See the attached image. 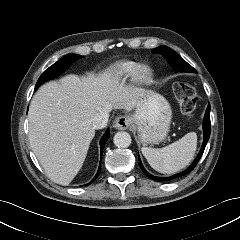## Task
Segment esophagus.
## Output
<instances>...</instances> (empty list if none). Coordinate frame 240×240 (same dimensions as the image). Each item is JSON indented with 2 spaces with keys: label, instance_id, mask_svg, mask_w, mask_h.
<instances>
[{
  "label": "esophagus",
  "instance_id": "1",
  "mask_svg": "<svg viewBox=\"0 0 240 240\" xmlns=\"http://www.w3.org/2000/svg\"><path fill=\"white\" fill-rule=\"evenodd\" d=\"M132 119L130 116H118L113 123V127L118 130H126L131 125Z\"/></svg>",
  "mask_w": 240,
  "mask_h": 240
}]
</instances>
